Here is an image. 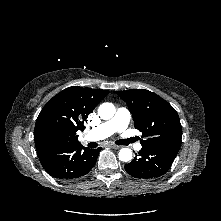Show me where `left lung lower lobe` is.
I'll use <instances>...</instances> for the list:
<instances>
[{
	"label": "left lung lower lobe",
	"mask_w": 221,
	"mask_h": 221,
	"mask_svg": "<svg viewBox=\"0 0 221 221\" xmlns=\"http://www.w3.org/2000/svg\"><path fill=\"white\" fill-rule=\"evenodd\" d=\"M176 155L177 152L168 149L142 145L133 161L125 165V170L135 178L154 179L169 170Z\"/></svg>",
	"instance_id": "left-lung-lower-lobe-1"
}]
</instances>
